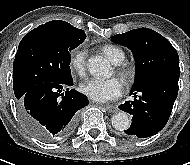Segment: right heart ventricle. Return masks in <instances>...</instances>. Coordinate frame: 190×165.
<instances>
[{"label":"right heart ventricle","instance_id":"1","mask_svg":"<svg viewBox=\"0 0 190 165\" xmlns=\"http://www.w3.org/2000/svg\"><path fill=\"white\" fill-rule=\"evenodd\" d=\"M101 51L114 64H121L126 57L124 51L115 45H104Z\"/></svg>","mask_w":190,"mask_h":165}]
</instances>
